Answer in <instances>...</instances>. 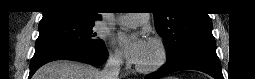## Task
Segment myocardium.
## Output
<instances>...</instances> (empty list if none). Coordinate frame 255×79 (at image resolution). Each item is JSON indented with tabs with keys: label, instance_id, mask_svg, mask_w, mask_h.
<instances>
[{
	"label": "myocardium",
	"instance_id": "obj_1",
	"mask_svg": "<svg viewBox=\"0 0 255 79\" xmlns=\"http://www.w3.org/2000/svg\"><path fill=\"white\" fill-rule=\"evenodd\" d=\"M149 44L154 45L158 50L157 60L149 66L136 65V70L140 73H151L162 68L168 60V50L164 42L156 37H152L148 41Z\"/></svg>",
	"mask_w": 255,
	"mask_h": 79
}]
</instances>
